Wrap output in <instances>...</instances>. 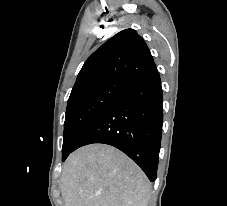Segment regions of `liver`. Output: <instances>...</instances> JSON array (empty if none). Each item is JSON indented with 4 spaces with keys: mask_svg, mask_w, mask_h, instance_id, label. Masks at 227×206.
Segmentation results:
<instances>
[{
    "mask_svg": "<svg viewBox=\"0 0 227 206\" xmlns=\"http://www.w3.org/2000/svg\"><path fill=\"white\" fill-rule=\"evenodd\" d=\"M61 191L65 206H147L151 184L124 153L91 144L67 158Z\"/></svg>",
    "mask_w": 227,
    "mask_h": 206,
    "instance_id": "6515ba94",
    "label": "liver"
}]
</instances>
